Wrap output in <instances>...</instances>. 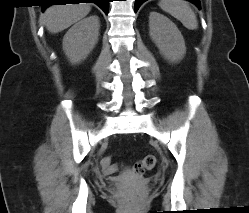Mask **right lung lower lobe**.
Wrapping results in <instances>:
<instances>
[{"mask_svg":"<svg viewBox=\"0 0 249 213\" xmlns=\"http://www.w3.org/2000/svg\"><path fill=\"white\" fill-rule=\"evenodd\" d=\"M109 1L110 0H48V2L53 4H66V3H73V4H79L80 2H86V3H96L106 14H108L109 10ZM50 6L49 3L43 5V9Z\"/></svg>","mask_w":249,"mask_h":213,"instance_id":"obj_1","label":"right lung lower lobe"}]
</instances>
